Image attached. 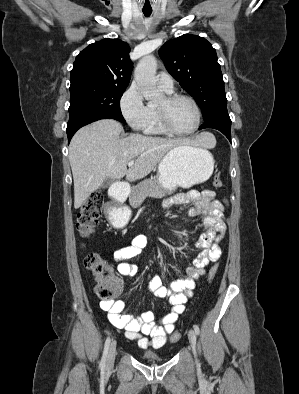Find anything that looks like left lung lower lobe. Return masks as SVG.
<instances>
[{
    "label": "left lung lower lobe",
    "mask_w": 299,
    "mask_h": 394,
    "mask_svg": "<svg viewBox=\"0 0 299 394\" xmlns=\"http://www.w3.org/2000/svg\"><path fill=\"white\" fill-rule=\"evenodd\" d=\"M213 128L221 131L231 142V120L228 114L215 116L200 126L199 129Z\"/></svg>",
    "instance_id": "obj_1"
}]
</instances>
